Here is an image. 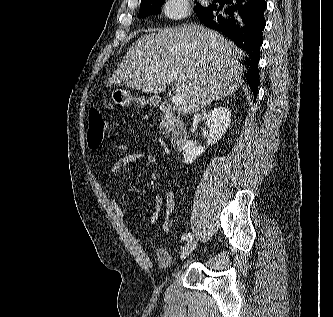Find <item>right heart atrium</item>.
I'll use <instances>...</instances> for the list:
<instances>
[{
  "label": "right heart atrium",
  "mask_w": 333,
  "mask_h": 317,
  "mask_svg": "<svg viewBox=\"0 0 333 317\" xmlns=\"http://www.w3.org/2000/svg\"><path fill=\"white\" fill-rule=\"evenodd\" d=\"M191 11L189 0H162L160 5L161 14L172 21L185 19Z\"/></svg>",
  "instance_id": "obj_1"
}]
</instances>
